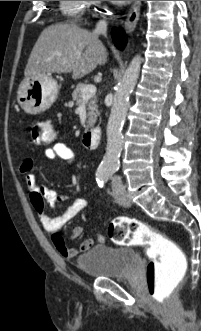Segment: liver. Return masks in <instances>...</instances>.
<instances>
[{
	"label": "liver",
	"instance_id": "1",
	"mask_svg": "<svg viewBox=\"0 0 201 331\" xmlns=\"http://www.w3.org/2000/svg\"><path fill=\"white\" fill-rule=\"evenodd\" d=\"M107 52L98 35L74 24L58 23L45 28L29 56L24 75L39 77L73 72L74 79L104 64Z\"/></svg>",
	"mask_w": 201,
	"mask_h": 331
}]
</instances>
